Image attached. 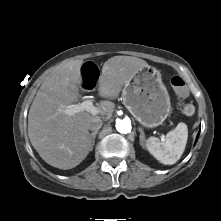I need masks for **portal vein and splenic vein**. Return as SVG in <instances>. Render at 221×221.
Here are the masks:
<instances>
[{"mask_svg": "<svg viewBox=\"0 0 221 221\" xmlns=\"http://www.w3.org/2000/svg\"><path fill=\"white\" fill-rule=\"evenodd\" d=\"M82 111L89 112L92 115L99 114V109L93 105L91 100H85L81 103L71 105L65 110V113L68 115H74Z\"/></svg>", "mask_w": 221, "mask_h": 221, "instance_id": "obj_1", "label": "portal vein and splenic vein"}]
</instances>
